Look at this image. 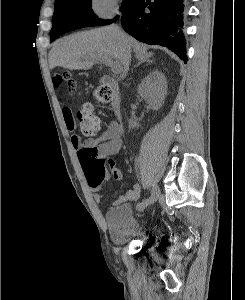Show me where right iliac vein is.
<instances>
[{
    "label": "right iliac vein",
    "mask_w": 245,
    "mask_h": 300,
    "mask_svg": "<svg viewBox=\"0 0 245 300\" xmlns=\"http://www.w3.org/2000/svg\"><path fill=\"white\" fill-rule=\"evenodd\" d=\"M159 194H160L159 188L157 186H154L152 189L151 196L147 200L145 199L142 201L144 204L142 206L137 204V206H136L137 210L143 211L147 206L151 205L152 203H154L157 200V198L159 197Z\"/></svg>",
    "instance_id": "63e3f726"
}]
</instances>
